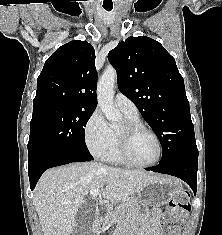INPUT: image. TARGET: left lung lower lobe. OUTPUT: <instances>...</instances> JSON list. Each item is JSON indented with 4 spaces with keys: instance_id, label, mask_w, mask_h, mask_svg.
<instances>
[{
    "instance_id": "1",
    "label": "left lung lower lobe",
    "mask_w": 222,
    "mask_h": 235,
    "mask_svg": "<svg viewBox=\"0 0 222 235\" xmlns=\"http://www.w3.org/2000/svg\"><path fill=\"white\" fill-rule=\"evenodd\" d=\"M197 163L198 155H183L160 162L159 165L146 170L178 177L184 180L192 188L194 195H196Z\"/></svg>"
}]
</instances>
